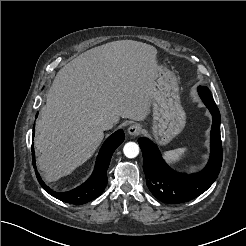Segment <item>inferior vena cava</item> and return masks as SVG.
Instances as JSON below:
<instances>
[{
	"instance_id": "inferior-vena-cava-1",
	"label": "inferior vena cava",
	"mask_w": 246,
	"mask_h": 246,
	"mask_svg": "<svg viewBox=\"0 0 246 246\" xmlns=\"http://www.w3.org/2000/svg\"><path fill=\"white\" fill-rule=\"evenodd\" d=\"M101 127L103 130H109L114 127V121L112 119H104L101 122Z\"/></svg>"
}]
</instances>
